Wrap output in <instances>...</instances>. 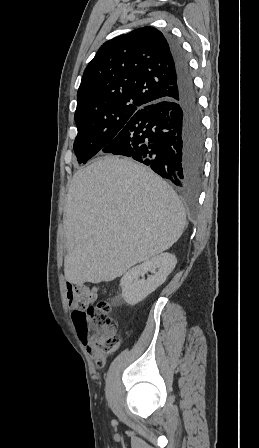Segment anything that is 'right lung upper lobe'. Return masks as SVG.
Wrapping results in <instances>:
<instances>
[{
    "label": "right lung upper lobe",
    "mask_w": 259,
    "mask_h": 448,
    "mask_svg": "<svg viewBox=\"0 0 259 448\" xmlns=\"http://www.w3.org/2000/svg\"><path fill=\"white\" fill-rule=\"evenodd\" d=\"M177 74L166 37L143 27L105 42L84 71L75 115L146 107L173 95Z\"/></svg>",
    "instance_id": "1"
}]
</instances>
